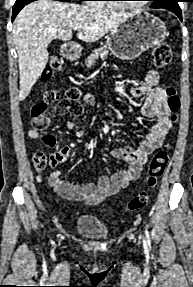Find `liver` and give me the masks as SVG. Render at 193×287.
Here are the masks:
<instances>
[{"instance_id":"obj_1","label":"liver","mask_w":193,"mask_h":287,"mask_svg":"<svg viewBox=\"0 0 193 287\" xmlns=\"http://www.w3.org/2000/svg\"><path fill=\"white\" fill-rule=\"evenodd\" d=\"M132 13L86 5L37 0L22 9L13 23V41L18 53L19 100H24L41 76L49 59L47 47L54 39L69 41L75 26L77 38L92 43L115 29Z\"/></svg>"}]
</instances>
